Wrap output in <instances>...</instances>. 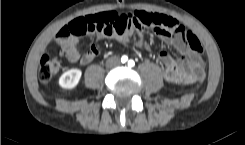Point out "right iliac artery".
Wrapping results in <instances>:
<instances>
[{
    "instance_id": "right-iliac-artery-1",
    "label": "right iliac artery",
    "mask_w": 245,
    "mask_h": 145,
    "mask_svg": "<svg viewBox=\"0 0 245 145\" xmlns=\"http://www.w3.org/2000/svg\"><path fill=\"white\" fill-rule=\"evenodd\" d=\"M128 60V57L126 55L122 56L121 61L122 63H125Z\"/></svg>"
}]
</instances>
